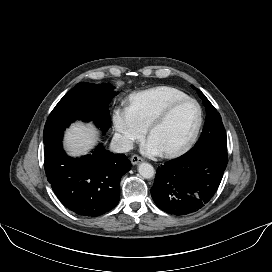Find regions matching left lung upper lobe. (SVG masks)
Wrapping results in <instances>:
<instances>
[{
    "instance_id": "left-lung-upper-lobe-1",
    "label": "left lung upper lobe",
    "mask_w": 272,
    "mask_h": 272,
    "mask_svg": "<svg viewBox=\"0 0 272 272\" xmlns=\"http://www.w3.org/2000/svg\"><path fill=\"white\" fill-rule=\"evenodd\" d=\"M197 91L200 98L203 100L207 116L200 140L194 147H210L212 149H218L227 152L226 131L223 126L221 116L215 107L210 103V101L205 97V95L200 90Z\"/></svg>"
}]
</instances>
